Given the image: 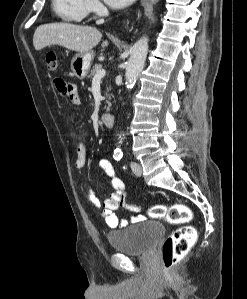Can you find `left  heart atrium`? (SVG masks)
Here are the masks:
<instances>
[{
    "mask_svg": "<svg viewBox=\"0 0 247 299\" xmlns=\"http://www.w3.org/2000/svg\"><path fill=\"white\" fill-rule=\"evenodd\" d=\"M133 0H105V2L113 8H122L127 6Z\"/></svg>",
    "mask_w": 247,
    "mask_h": 299,
    "instance_id": "39dd6f15",
    "label": "left heart atrium"
}]
</instances>
